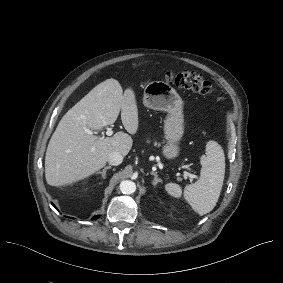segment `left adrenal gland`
<instances>
[{
    "label": "left adrenal gland",
    "mask_w": 283,
    "mask_h": 283,
    "mask_svg": "<svg viewBox=\"0 0 283 283\" xmlns=\"http://www.w3.org/2000/svg\"><path fill=\"white\" fill-rule=\"evenodd\" d=\"M150 174L154 176V180L152 182L153 185H157L158 182L162 183V179L158 177L156 172L152 171V172H150Z\"/></svg>",
    "instance_id": "1"
}]
</instances>
